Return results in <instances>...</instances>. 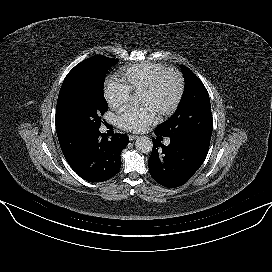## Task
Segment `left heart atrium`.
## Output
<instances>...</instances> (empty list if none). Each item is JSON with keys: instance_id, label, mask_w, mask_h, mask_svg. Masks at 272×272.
<instances>
[{"instance_id": "1", "label": "left heart atrium", "mask_w": 272, "mask_h": 272, "mask_svg": "<svg viewBox=\"0 0 272 272\" xmlns=\"http://www.w3.org/2000/svg\"><path fill=\"white\" fill-rule=\"evenodd\" d=\"M158 112L148 104L131 105L116 118L117 125L127 131L142 132L158 120Z\"/></svg>"}]
</instances>
